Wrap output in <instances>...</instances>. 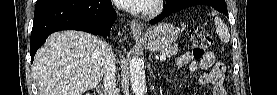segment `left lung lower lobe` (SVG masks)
<instances>
[{
  "mask_svg": "<svg viewBox=\"0 0 277 95\" xmlns=\"http://www.w3.org/2000/svg\"><path fill=\"white\" fill-rule=\"evenodd\" d=\"M194 5H209L219 12L228 15L227 7L224 0H177L172 4L166 6L163 13L151 20L150 24L154 25L172 13Z\"/></svg>",
  "mask_w": 277,
  "mask_h": 95,
  "instance_id": "obj_1",
  "label": "left lung lower lobe"
}]
</instances>
